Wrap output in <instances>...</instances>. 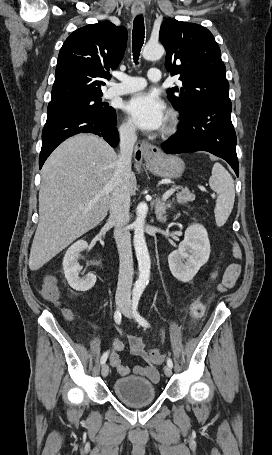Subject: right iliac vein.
<instances>
[{"instance_id":"1","label":"right iliac vein","mask_w":272,"mask_h":455,"mask_svg":"<svg viewBox=\"0 0 272 455\" xmlns=\"http://www.w3.org/2000/svg\"><path fill=\"white\" fill-rule=\"evenodd\" d=\"M125 300L123 298H119L116 300V305L118 309H122L125 305ZM102 376L107 377L109 373V366L107 364H103L102 370H101Z\"/></svg>"}]
</instances>
